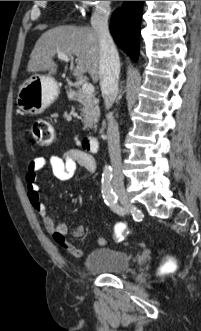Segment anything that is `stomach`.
I'll list each match as a JSON object with an SVG mask.
<instances>
[{
    "instance_id": "obj_1",
    "label": "stomach",
    "mask_w": 201,
    "mask_h": 331,
    "mask_svg": "<svg viewBox=\"0 0 201 331\" xmlns=\"http://www.w3.org/2000/svg\"><path fill=\"white\" fill-rule=\"evenodd\" d=\"M59 86L49 75H34L20 86L17 105L25 113L38 115L45 111L58 97Z\"/></svg>"
}]
</instances>
